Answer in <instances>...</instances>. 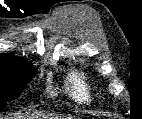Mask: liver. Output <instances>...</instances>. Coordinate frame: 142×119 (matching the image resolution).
I'll list each match as a JSON object with an SVG mask.
<instances>
[{"label":"liver","instance_id":"liver-1","mask_svg":"<svg viewBox=\"0 0 142 119\" xmlns=\"http://www.w3.org/2000/svg\"><path fill=\"white\" fill-rule=\"evenodd\" d=\"M24 117L28 118V119H38L39 117H41L43 119H59L60 118L58 116H54L51 114H42V115L41 114H29Z\"/></svg>","mask_w":142,"mask_h":119}]
</instances>
